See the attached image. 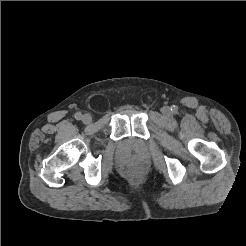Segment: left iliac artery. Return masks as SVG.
<instances>
[{"mask_svg": "<svg viewBox=\"0 0 246 246\" xmlns=\"http://www.w3.org/2000/svg\"><path fill=\"white\" fill-rule=\"evenodd\" d=\"M171 110H172V112L176 113V112L178 111V108H177V106L174 105V106L171 108Z\"/></svg>", "mask_w": 246, "mask_h": 246, "instance_id": "1", "label": "left iliac artery"}]
</instances>
